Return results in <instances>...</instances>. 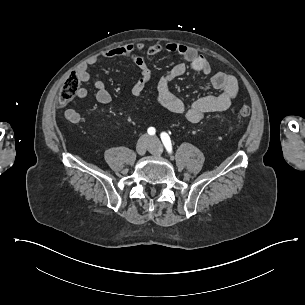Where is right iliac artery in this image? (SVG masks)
I'll return each mask as SVG.
<instances>
[{
    "label": "right iliac artery",
    "instance_id": "82829eb1",
    "mask_svg": "<svg viewBox=\"0 0 305 305\" xmlns=\"http://www.w3.org/2000/svg\"><path fill=\"white\" fill-rule=\"evenodd\" d=\"M147 132H148L149 135H154L156 130H155L154 127H150V128H148Z\"/></svg>",
    "mask_w": 305,
    "mask_h": 305
}]
</instances>
